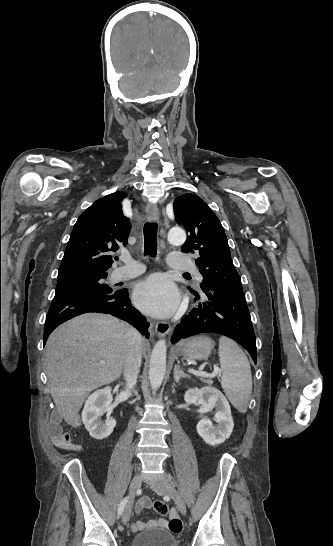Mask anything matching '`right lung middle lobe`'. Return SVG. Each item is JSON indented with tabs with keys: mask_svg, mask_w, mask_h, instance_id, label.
I'll use <instances>...</instances> for the list:
<instances>
[{
	"mask_svg": "<svg viewBox=\"0 0 333 546\" xmlns=\"http://www.w3.org/2000/svg\"><path fill=\"white\" fill-rule=\"evenodd\" d=\"M107 273L69 277L57 282L55 296L93 292L99 294H112V289L104 283Z\"/></svg>",
	"mask_w": 333,
	"mask_h": 546,
	"instance_id": "obj_1",
	"label": "right lung middle lobe"
}]
</instances>
